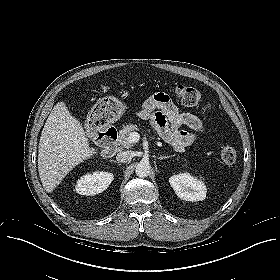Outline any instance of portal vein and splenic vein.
Listing matches in <instances>:
<instances>
[{
	"label": "portal vein and splenic vein",
	"mask_w": 280,
	"mask_h": 280,
	"mask_svg": "<svg viewBox=\"0 0 280 280\" xmlns=\"http://www.w3.org/2000/svg\"><path fill=\"white\" fill-rule=\"evenodd\" d=\"M139 139H140L139 133L134 131L129 134L128 140L130 143H137L139 141Z\"/></svg>",
	"instance_id": "obj_1"
}]
</instances>
